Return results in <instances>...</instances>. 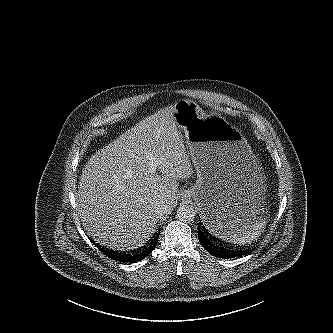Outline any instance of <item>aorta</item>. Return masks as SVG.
Returning a JSON list of instances; mask_svg holds the SVG:
<instances>
[{
  "mask_svg": "<svg viewBox=\"0 0 333 333\" xmlns=\"http://www.w3.org/2000/svg\"><path fill=\"white\" fill-rule=\"evenodd\" d=\"M176 216L182 222H192L195 218V210L189 205H183L177 209Z\"/></svg>",
  "mask_w": 333,
  "mask_h": 333,
  "instance_id": "aorta-1",
  "label": "aorta"
}]
</instances>
